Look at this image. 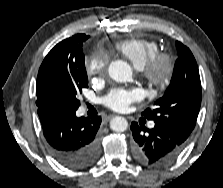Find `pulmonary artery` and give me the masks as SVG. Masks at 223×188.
I'll use <instances>...</instances> for the list:
<instances>
[{
  "mask_svg": "<svg viewBox=\"0 0 223 188\" xmlns=\"http://www.w3.org/2000/svg\"><path fill=\"white\" fill-rule=\"evenodd\" d=\"M149 127H150V128H153V127H154V123L151 122V123L149 124Z\"/></svg>",
  "mask_w": 223,
  "mask_h": 188,
  "instance_id": "e3ab8cb5",
  "label": "pulmonary artery"
}]
</instances>
